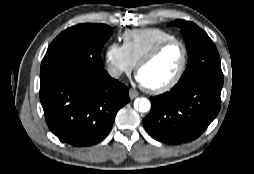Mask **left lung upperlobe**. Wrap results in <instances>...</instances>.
<instances>
[{"mask_svg": "<svg viewBox=\"0 0 254 174\" xmlns=\"http://www.w3.org/2000/svg\"><path fill=\"white\" fill-rule=\"evenodd\" d=\"M178 26L188 52V63L178 83H186L203 75H223L218 51L209 36L196 24L177 19L169 24Z\"/></svg>", "mask_w": 254, "mask_h": 174, "instance_id": "1", "label": "left lung upper lobe"}]
</instances>
